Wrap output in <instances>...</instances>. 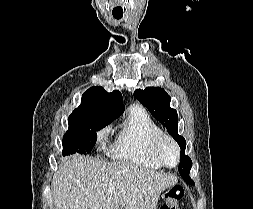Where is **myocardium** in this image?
<instances>
[{
  "instance_id": "1",
  "label": "myocardium",
  "mask_w": 253,
  "mask_h": 209,
  "mask_svg": "<svg viewBox=\"0 0 253 209\" xmlns=\"http://www.w3.org/2000/svg\"><path fill=\"white\" fill-rule=\"evenodd\" d=\"M165 141H169L173 144V146L175 147L176 150V155H177V161L174 165H169L166 163V161L163 158L161 149L163 146V143ZM151 154L153 155V157L164 167L166 168H175L179 165L180 163V158H181V150H180V146L177 143V141L174 139V137L166 132H160L155 139L153 140V143L151 145Z\"/></svg>"
}]
</instances>
